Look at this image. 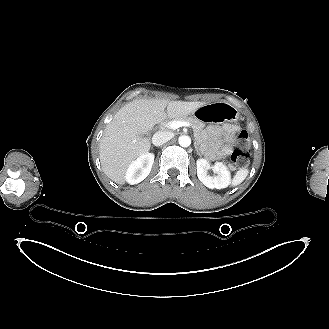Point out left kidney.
Returning a JSON list of instances; mask_svg holds the SVG:
<instances>
[{"mask_svg": "<svg viewBox=\"0 0 329 329\" xmlns=\"http://www.w3.org/2000/svg\"><path fill=\"white\" fill-rule=\"evenodd\" d=\"M212 169L216 176H209L208 170ZM197 176L199 180L208 188L222 189L226 188L231 183L230 172L227 167L221 163L216 162L214 166H210L206 159L197 160Z\"/></svg>", "mask_w": 329, "mask_h": 329, "instance_id": "5707ae66", "label": "left kidney"}]
</instances>
